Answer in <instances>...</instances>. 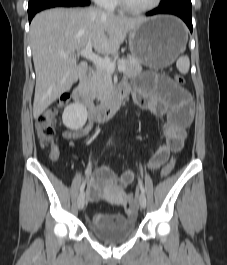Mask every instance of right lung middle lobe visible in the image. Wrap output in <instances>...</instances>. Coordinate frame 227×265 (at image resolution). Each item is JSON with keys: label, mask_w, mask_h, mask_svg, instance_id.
<instances>
[{"label": "right lung middle lobe", "mask_w": 227, "mask_h": 265, "mask_svg": "<svg viewBox=\"0 0 227 265\" xmlns=\"http://www.w3.org/2000/svg\"><path fill=\"white\" fill-rule=\"evenodd\" d=\"M45 0H29L28 10H32L39 6Z\"/></svg>", "instance_id": "right-lung-middle-lobe-1"}]
</instances>
